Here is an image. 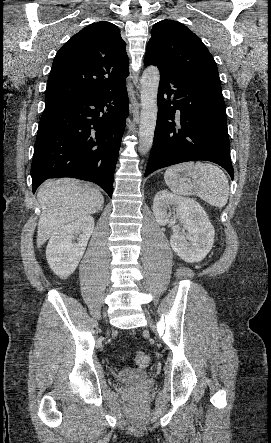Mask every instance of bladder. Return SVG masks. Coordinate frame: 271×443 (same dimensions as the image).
<instances>
[{"label":"bladder","mask_w":271,"mask_h":443,"mask_svg":"<svg viewBox=\"0 0 271 443\" xmlns=\"http://www.w3.org/2000/svg\"><path fill=\"white\" fill-rule=\"evenodd\" d=\"M149 376L148 371L144 369L123 368L114 375L115 379L121 383H137L144 381Z\"/></svg>","instance_id":"1"}]
</instances>
